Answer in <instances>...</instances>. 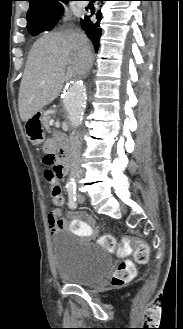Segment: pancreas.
Here are the masks:
<instances>
[{
    "mask_svg": "<svg viewBox=\"0 0 183 329\" xmlns=\"http://www.w3.org/2000/svg\"><path fill=\"white\" fill-rule=\"evenodd\" d=\"M50 119H51L50 116H46V117H44L43 120H42V121H43V126L45 127V129H46L47 131L50 130V124H49Z\"/></svg>",
    "mask_w": 183,
    "mask_h": 329,
    "instance_id": "pancreas-1",
    "label": "pancreas"
}]
</instances>
